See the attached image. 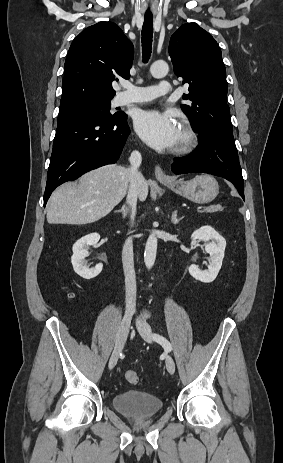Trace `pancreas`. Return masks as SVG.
I'll return each mask as SVG.
<instances>
[{"mask_svg":"<svg viewBox=\"0 0 283 463\" xmlns=\"http://www.w3.org/2000/svg\"><path fill=\"white\" fill-rule=\"evenodd\" d=\"M223 208L220 206V205H216V206H209L207 208H205L202 212H215V211H219V210H222Z\"/></svg>","mask_w":283,"mask_h":463,"instance_id":"pancreas-1","label":"pancreas"}]
</instances>
